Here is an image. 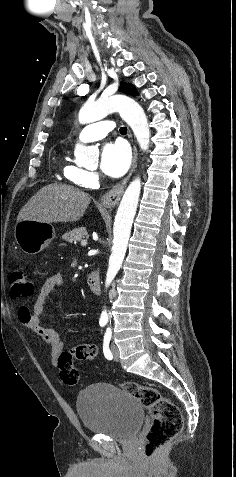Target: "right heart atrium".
I'll return each instance as SVG.
<instances>
[{
	"instance_id": "1",
	"label": "right heart atrium",
	"mask_w": 236,
	"mask_h": 477,
	"mask_svg": "<svg viewBox=\"0 0 236 477\" xmlns=\"http://www.w3.org/2000/svg\"><path fill=\"white\" fill-rule=\"evenodd\" d=\"M69 179H73L72 176L68 177ZM99 179V175L94 171H87L86 176L82 180L83 186H90L95 184Z\"/></svg>"
}]
</instances>
